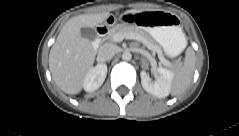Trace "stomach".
Segmentation results:
<instances>
[{"label":"stomach","mask_w":239,"mask_h":136,"mask_svg":"<svg viewBox=\"0 0 239 136\" xmlns=\"http://www.w3.org/2000/svg\"><path fill=\"white\" fill-rule=\"evenodd\" d=\"M119 23L125 27H138L155 40L166 56L179 55L186 46L179 20L173 14L161 11L121 12Z\"/></svg>","instance_id":"1"}]
</instances>
